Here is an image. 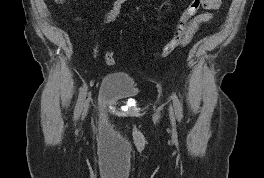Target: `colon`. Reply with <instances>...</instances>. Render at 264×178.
<instances>
[{"mask_svg": "<svg viewBox=\"0 0 264 178\" xmlns=\"http://www.w3.org/2000/svg\"><path fill=\"white\" fill-rule=\"evenodd\" d=\"M61 3L63 0H56ZM208 0H191L187 7L182 12L175 29V33L171 40L163 46L159 51L160 57H167L176 49L186 46L192 39L196 27L193 25V19L198 14L201 8H205ZM104 61L108 65H113L116 62L115 54L112 51H107L104 55Z\"/></svg>", "mask_w": 264, "mask_h": 178, "instance_id": "colon-1", "label": "colon"}]
</instances>
